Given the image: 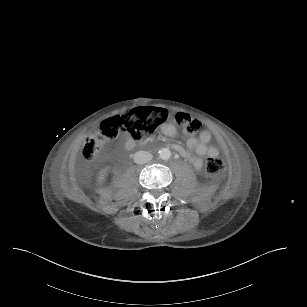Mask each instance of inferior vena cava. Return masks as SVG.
I'll list each match as a JSON object with an SVG mask.
<instances>
[{
  "instance_id": "inferior-vena-cava-1",
  "label": "inferior vena cava",
  "mask_w": 307,
  "mask_h": 307,
  "mask_svg": "<svg viewBox=\"0 0 307 307\" xmlns=\"http://www.w3.org/2000/svg\"><path fill=\"white\" fill-rule=\"evenodd\" d=\"M152 160V154L147 151H137L134 154V162L136 164H145Z\"/></svg>"
}]
</instances>
